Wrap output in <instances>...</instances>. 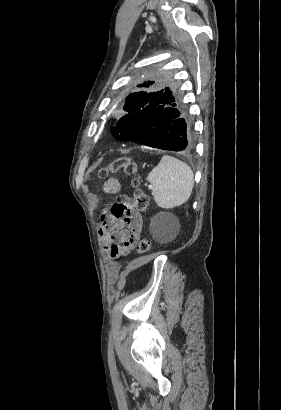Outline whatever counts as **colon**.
Returning <instances> with one entry per match:
<instances>
[{"mask_svg":"<svg viewBox=\"0 0 281 410\" xmlns=\"http://www.w3.org/2000/svg\"><path fill=\"white\" fill-rule=\"evenodd\" d=\"M122 170L127 176L132 177V184L134 187L133 197L126 196L119 197L111 206L110 213L116 217H128L135 212H145L149 199L146 192L140 186V177L138 166L136 162L128 157H121L108 166L101 168L98 171L99 178H106L109 174L117 173ZM150 241L143 238L139 241L138 252L145 255L150 251Z\"/></svg>","mask_w":281,"mask_h":410,"instance_id":"5ec220e1","label":"colon"}]
</instances>
